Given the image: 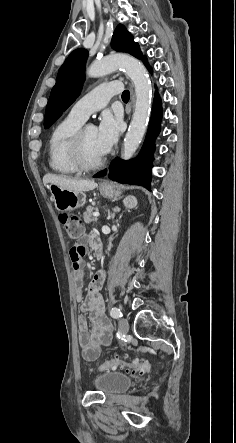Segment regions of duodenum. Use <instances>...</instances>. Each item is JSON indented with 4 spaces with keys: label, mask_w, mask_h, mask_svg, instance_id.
<instances>
[{
    "label": "duodenum",
    "mask_w": 236,
    "mask_h": 443,
    "mask_svg": "<svg viewBox=\"0 0 236 443\" xmlns=\"http://www.w3.org/2000/svg\"><path fill=\"white\" fill-rule=\"evenodd\" d=\"M101 255H102V246L98 247V248L95 250V257H96V258H100Z\"/></svg>",
    "instance_id": "1"
}]
</instances>
